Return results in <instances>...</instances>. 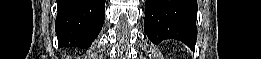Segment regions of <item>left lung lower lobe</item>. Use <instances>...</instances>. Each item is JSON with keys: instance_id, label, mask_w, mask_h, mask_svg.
<instances>
[{"instance_id": "obj_1", "label": "left lung lower lobe", "mask_w": 261, "mask_h": 59, "mask_svg": "<svg viewBox=\"0 0 261 59\" xmlns=\"http://www.w3.org/2000/svg\"><path fill=\"white\" fill-rule=\"evenodd\" d=\"M196 16V0H146L144 31L153 43L177 39L194 49Z\"/></svg>"}]
</instances>
